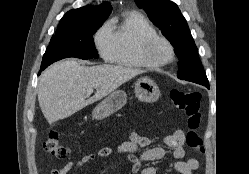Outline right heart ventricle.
<instances>
[{"label":"right heart ventricle","mask_w":249,"mask_h":174,"mask_svg":"<svg viewBox=\"0 0 249 174\" xmlns=\"http://www.w3.org/2000/svg\"><path fill=\"white\" fill-rule=\"evenodd\" d=\"M109 27L115 43L110 62L125 67L158 68L145 61L139 53L142 41L157 34L147 18L137 12H129L120 20H113Z\"/></svg>","instance_id":"1"}]
</instances>
